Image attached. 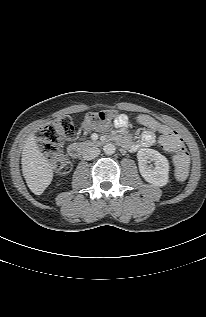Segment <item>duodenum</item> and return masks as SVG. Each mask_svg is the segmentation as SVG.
I'll use <instances>...</instances> for the list:
<instances>
[{
  "label": "duodenum",
  "instance_id": "duodenum-1",
  "mask_svg": "<svg viewBox=\"0 0 206 317\" xmlns=\"http://www.w3.org/2000/svg\"><path fill=\"white\" fill-rule=\"evenodd\" d=\"M112 140L114 141H119V137L114 135L111 137ZM89 144H83V145H71L68 149L69 154L73 157V158H80V156L82 155L83 151L85 148L89 147Z\"/></svg>",
  "mask_w": 206,
  "mask_h": 317
}]
</instances>
